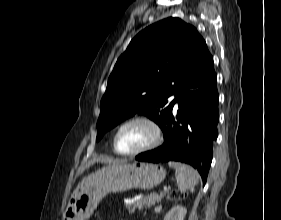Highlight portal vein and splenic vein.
<instances>
[{"label": "portal vein and splenic vein", "instance_id": "18ae733b", "mask_svg": "<svg viewBox=\"0 0 281 220\" xmlns=\"http://www.w3.org/2000/svg\"><path fill=\"white\" fill-rule=\"evenodd\" d=\"M164 190L167 191V188L165 187Z\"/></svg>", "mask_w": 281, "mask_h": 220}]
</instances>
